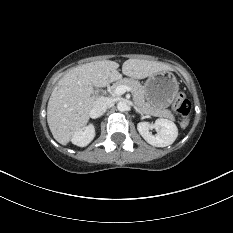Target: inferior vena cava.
Wrapping results in <instances>:
<instances>
[{
    "label": "inferior vena cava",
    "instance_id": "1",
    "mask_svg": "<svg viewBox=\"0 0 233 233\" xmlns=\"http://www.w3.org/2000/svg\"><path fill=\"white\" fill-rule=\"evenodd\" d=\"M111 101L108 98L100 97L97 98L93 103L91 113L94 117L102 116L107 109L110 107Z\"/></svg>",
    "mask_w": 233,
    "mask_h": 233
}]
</instances>
